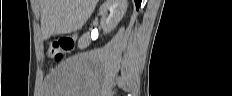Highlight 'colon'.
<instances>
[{"label":"colon","mask_w":232,"mask_h":96,"mask_svg":"<svg viewBox=\"0 0 232 96\" xmlns=\"http://www.w3.org/2000/svg\"><path fill=\"white\" fill-rule=\"evenodd\" d=\"M73 47V41L70 39H61L53 42L48 48V56L55 61H62L66 53Z\"/></svg>","instance_id":"obj_1"}]
</instances>
